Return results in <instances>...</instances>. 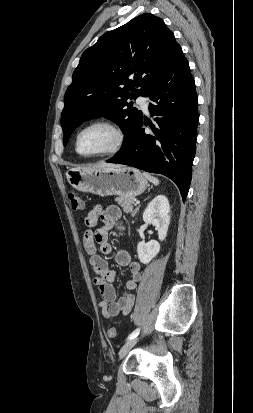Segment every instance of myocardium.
<instances>
[{"label": "myocardium", "instance_id": "f54148a6", "mask_svg": "<svg viewBox=\"0 0 253 413\" xmlns=\"http://www.w3.org/2000/svg\"><path fill=\"white\" fill-rule=\"evenodd\" d=\"M93 126H105V127L109 128L115 134L116 141H115L114 145L106 151L96 153V154H90V155L83 154L79 151V147H78L80 135L86 129H88L90 127H93ZM125 143H126V133L123 130V128L117 122H115L111 119L100 118V119H95V120H92V121L88 122L87 124H85L84 126H82L78 130V132L75 136L74 146H75L76 153L78 155H80L81 157H84V158H97V157L110 156V155H114V154L118 153L119 151L122 150Z\"/></svg>", "mask_w": 253, "mask_h": 413}]
</instances>
